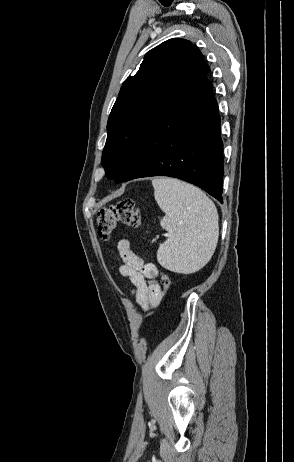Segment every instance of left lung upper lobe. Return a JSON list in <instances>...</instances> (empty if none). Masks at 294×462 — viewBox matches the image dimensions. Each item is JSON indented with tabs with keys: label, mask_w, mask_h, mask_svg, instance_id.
I'll list each match as a JSON object with an SVG mask.
<instances>
[{
	"label": "left lung upper lobe",
	"mask_w": 294,
	"mask_h": 462,
	"mask_svg": "<svg viewBox=\"0 0 294 462\" xmlns=\"http://www.w3.org/2000/svg\"><path fill=\"white\" fill-rule=\"evenodd\" d=\"M209 72L199 48L184 39L167 40L146 53L136 75L124 81L108 119L101 160L106 177L116 176L156 112Z\"/></svg>",
	"instance_id": "left-lung-upper-lobe-1"
}]
</instances>
